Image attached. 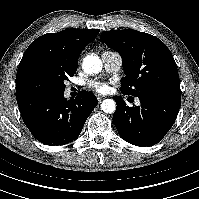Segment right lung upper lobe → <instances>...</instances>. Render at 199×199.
<instances>
[{
    "mask_svg": "<svg viewBox=\"0 0 199 199\" xmlns=\"http://www.w3.org/2000/svg\"><path fill=\"white\" fill-rule=\"evenodd\" d=\"M99 31L73 28L42 35L27 48L18 70L39 62L64 73L75 72L82 49L95 39Z\"/></svg>",
    "mask_w": 199,
    "mask_h": 199,
    "instance_id": "1",
    "label": "right lung upper lobe"
}]
</instances>
